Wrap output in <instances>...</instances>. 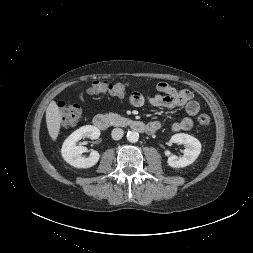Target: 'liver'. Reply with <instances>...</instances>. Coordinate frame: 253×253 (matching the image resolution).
I'll use <instances>...</instances> for the list:
<instances>
[{
  "mask_svg": "<svg viewBox=\"0 0 253 253\" xmlns=\"http://www.w3.org/2000/svg\"><path fill=\"white\" fill-rule=\"evenodd\" d=\"M46 123L50 137L55 141L59 135L62 115L55 101H51L46 110Z\"/></svg>",
  "mask_w": 253,
  "mask_h": 253,
  "instance_id": "6515ba94",
  "label": "liver"
}]
</instances>
